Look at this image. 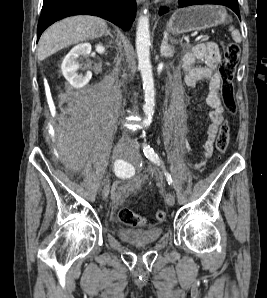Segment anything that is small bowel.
Wrapping results in <instances>:
<instances>
[{"mask_svg":"<svg viewBox=\"0 0 267 298\" xmlns=\"http://www.w3.org/2000/svg\"><path fill=\"white\" fill-rule=\"evenodd\" d=\"M221 56L218 46L214 42H207L196 45L192 51L186 53L183 57L182 68L185 72L186 85L193 87L202 80H208L209 92L206 97V103L210 107L209 126L207 129V137L203 146V159L197 163V166H203L213 152V143L218 131V127L223 121L225 106L223 105L220 96L219 88L221 78L217 72V67L220 63ZM202 61L205 63L202 67H197L196 63ZM174 112L180 113L178 102L174 104ZM137 187V182H132L129 186L119 189L118 193L123 198Z\"/></svg>","mask_w":267,"mask_h":298,"instance_id":"obj_1","label":"small bowel"}]
</instances>
